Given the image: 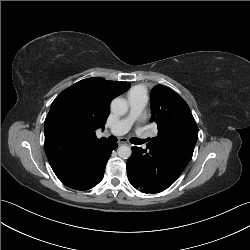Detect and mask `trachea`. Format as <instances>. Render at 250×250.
Returning <instances> with one entry per match:
<instances>
[{
	"mask_svg": "<svg viewBox=\"0 0 250 250\" xmlns=\"http://www.w3.org/2000/svg\"><path fill=\"white\" fill-rule=\"evenodd\" d=\"M108 140H109L110 142H117V138H116L115 136H110V137H108ZM130 142H131L132 144H135V145H140L141 143L144 142V140H141V139H139V138H131V139H130Z\"/></svg>",
	"mask_w": 250,
	"mask_h": 250,
	"instance_id": "1",
	"label": "trachea"
}]
</instances>
